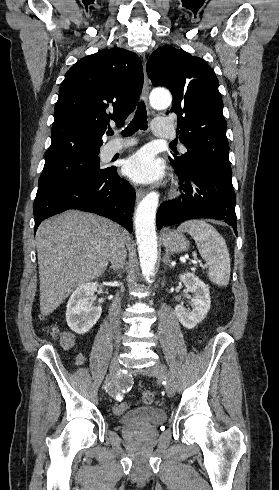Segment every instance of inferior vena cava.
Segmentation results:
<instances>
[{
	"instance_id": "inferior-vena-cava-1",
	"label": "inferior vena cava",
	"mask_w": 279,
	"mask_h": 490,
	"mask_svg": "<svg viewBox=\"0 0 279 490\" xmlns=\"http://www.w3.org/2000/svg\"><path fill=\"white\" fill-rule=\"evenodd\" d=\"M126 258H127V252L125 248V240H122L120 236H116L115 240H113L112 242V248L109 254V260L111 262L112 268H116V270H121V268H124ZM120 312H121V298H119V294H117V296L113 298L112 304L108 312L109 322H112L115 328H120V324H121Z\"/></svg>"
}]
</instances>
